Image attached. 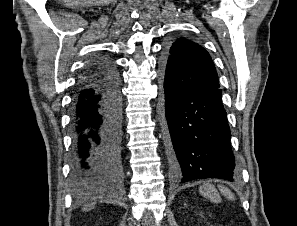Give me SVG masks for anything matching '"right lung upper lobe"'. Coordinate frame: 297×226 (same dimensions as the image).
<instances>
[{"label": "right lung upper lobe", "instance_id": "cb5924a9", "mask_svg": "<svg viewBox=\"0 0 297 226\" xmlns=\"http://www.w3.org/2000/svg\"><path fill=\"white\" fill-rule=\"evenodd\" d=\"M94 73L92 69H89L81 78L79 85L84 86L88 84V82L94 77Z\"/></svg>", "mask_w": 297, "mask_h": 226}]
</instances>
